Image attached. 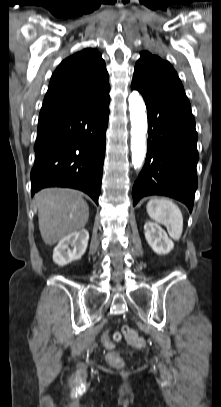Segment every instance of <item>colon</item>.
<instances>
[{
	"mask_svg": "<svg viewBox=\"0 0 221 407\" xmlns=\"http://www.w3.org/2000/svg\"><path fill=\"white\" fill-rule=\"evenodd\" d=\"M122 337L126 339V341L139 349H144L146 347L145 340L138 335L136 331L131 329L128 326H123L120 331H116L113 334H104L102 336V344L112 350L116 343H118ZM107 360L109 364L114 367H121L123 365V360L119 353L115 351H110L107 355Z\"/></svg>",
	"mask_w": 221,
	"mask_h": 407,
	"instance_id": "5ec220e1",
	"label": "colon"
}]
</instances>
